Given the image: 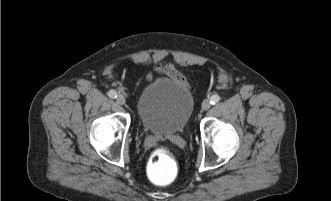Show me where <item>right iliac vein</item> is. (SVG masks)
I'll use <instances>...</instances> for the list:
<instances>
[{
    "label": "right iliac vein",
    "mask_w": 331,
    "mask_h": 201,
    "mask_svg": "<svg viewBox=\"0 0 331 201\" xmlns=\"http://www.w3.org/2000/svg\"><path fill=\"white\" fill-rule=\"evenodd\" d=\"M116 102L120 105H124L126 100H125V97L121 94H119L116 98Z\"/></svg>",
    "instance_id": "1"
}]
</instances>
